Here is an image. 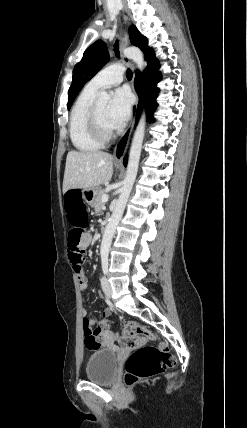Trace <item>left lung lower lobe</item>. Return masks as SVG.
I'll return each mask as SVG.
<instances>
[{
    "instance_id": "obj_1",
    "label": "left lung lower lobe",
    "mask_w": 247,
    "mask_h": 428,
    "mask_svg": "<svg viewBox=\"0 0 247 428\" xmlns=\"http://www.w3.org/2000/svg\"><path fill=\"white\" fill-rule=\"evenodd\" d=\"M160 65L154 54L147 59V68L142 75L137 72L135 77V90L139 95V105L137 111V119L139 118L143 105L147 107V113L149 116L154 112L157 103L156 97L159 93V88L156 84L161 80V73L158 71ZM127 160L124 159V165Z\"/></svg>"
}]
</instances>
